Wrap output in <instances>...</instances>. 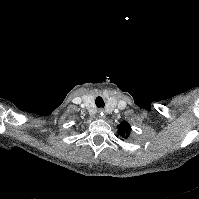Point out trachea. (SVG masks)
<instances>
[{"mask_svg":"<svg viewBox=\"0 0 199 199\" xmlns=\"http://www.w3.org/2000/svg\"><path fill=\"white\" fill-rule=\"evenodd\" d=\"M95 104L98 108H102L104 107V101L101 97H97L96 100H95Z\"/></svg>","mask_w":199,"mask_h":199,"instance_id":"obj_1","label":"trachea"}]
</instances>
